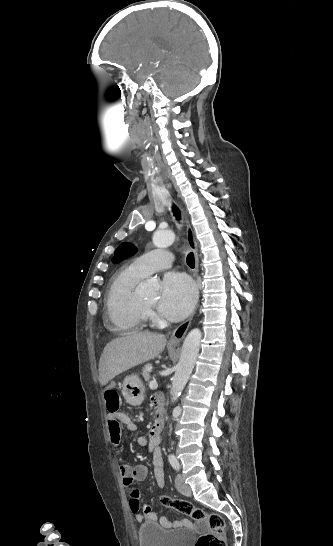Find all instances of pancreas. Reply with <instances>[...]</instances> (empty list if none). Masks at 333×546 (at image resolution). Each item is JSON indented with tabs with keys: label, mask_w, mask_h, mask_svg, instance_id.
<instances>
[{
	"label": "pancreas",
	"mask_w": 333,
	"mask_h": 546,
	"mask_svg": "<svg viewBox=\"0 0 333 546\" xmlns=\"http://www.w3.org/2000/svg\"><path fill=\"white\" fill-rule=\"evenodd\" d=\"M152 369V365L151 364H147L144 366L143 370H142V377L144 378L145 381H149L150 380V371Z\"/></svg>",
	"instance_id": "1"
}]
</instances>
